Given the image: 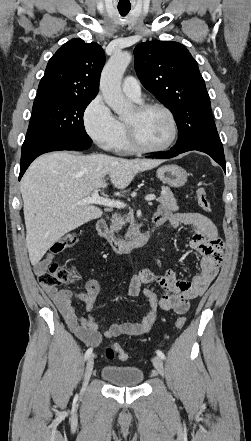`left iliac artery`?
Segmentation results:
<instances>
[{"label": "left iliac artery", "mask_w": 251, "mask_h": 441, "mask_svg": "<svg viewBox=\"0 0 251 441\" xmlns=\"http://www.w3.org/2000/svg\"><path fill=\"white\" fill-rule=\"evenodd\" d=\"M156 354L161 358V359H165V355H164V353L162 352V351H160V350H157L156 351Z\"/></svg>", "instance_id": "44dca946"}]
</instances>
